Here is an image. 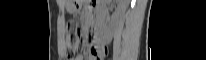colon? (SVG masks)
<instances>
[{"instance_id": "5ec220e1", "label": "colon", "mask_w": 206, "mask_h": 60, "mask_svg": "<svg viewBox=\"0 0 206 60\" xmlns=\"http://www.w3.org/2000/svg\"><path fill=\"white\" fill-rule=\"evenodd\" d=\"M68 32V49L67 57L70 60H75L78 57L79 50L81 48V38L77 25L74 22H70L67 25ZM100 58L97 57V60Z\"/></svg>"}]
</instances>
